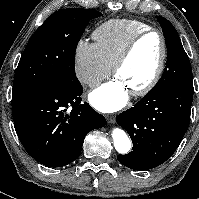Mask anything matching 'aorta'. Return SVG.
Here are the masks:
<instances>
[{
    "label": "aorta",
    "mask_w": 199,
    "mask_h": 199,
    "mask_svg": "<svg viewBox=\"0 0 199 199\" xmlns=\"http://www.w3.org/2000/svg\"><path fill=\"white\" fill-rule=\"evenodd\" d=\"M112 137L115 149L119 154H127L130 151L131 141L122 129H114L112 132Z\"/></svg>",
    "instance_id": "obj_1"
}]
</instances>
